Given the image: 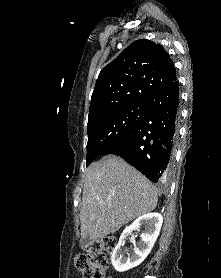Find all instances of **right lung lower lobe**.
I'll return each mask as SVG.
<instances>
[{"mask_svg":"<svg viewBox=\"0 0 221 278\" xmlns=\"http://www.w3.org/2000/svg\"><path fill=\"white\" fill-rule=\"evenodd\" d=\"M147 111L125 136L107 146L101 154L121 156L153 182L167 179L171 167L179 117V82L150 94Z\"/></svg>","mask_w":221,"mask_h":278,"instance_id":"obj_1","label":"right lung lower lobe"}]
</instances>
